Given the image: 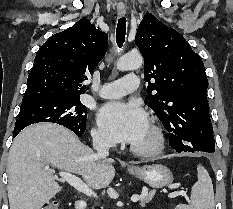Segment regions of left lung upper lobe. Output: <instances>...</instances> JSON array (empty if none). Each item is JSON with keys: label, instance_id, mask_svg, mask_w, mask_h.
I'll return each instance as SVG.
<instances>
[{"label": "left lung upper lobe", "instance_id": "left-lung-upper-lobe-1", "mask_svg": "<svg viewBox=\"0 0 233 209\" xmlns=\"http://www.w3.org/2000/svg\"><path fill=\"white\" fill-rule=\"evenodd\" d=\"M135 43L145 60L149 106L165 129L195 151L214 152L208 80L201 57L183 35L151 13L139 24Z\"/></svg>", "mask_w": 233, "mask_h": 209}]
</instances>
